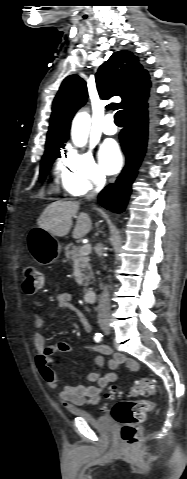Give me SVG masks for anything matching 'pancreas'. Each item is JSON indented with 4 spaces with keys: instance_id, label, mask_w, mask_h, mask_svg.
<instances>
[{
    "instance_id": "obj_1",
    "label": "pancreas",
    "mask_w": 187,
    "mask_h": 479,
    "mask_svg": "<svg viewBox=\"0 0 187 479\" xmlns=\"http://www.w3.org/2000/svg\"><path fill=\"white\" fill-rule=\"evenodd\" d=\"M65 256L69 261H77L82 271L84 292H87V287L90 280L93 279V273L91 271L90 258L86 255L80 254V247L70 243L64 247Z\"/></svg>"
}]
</instances>
